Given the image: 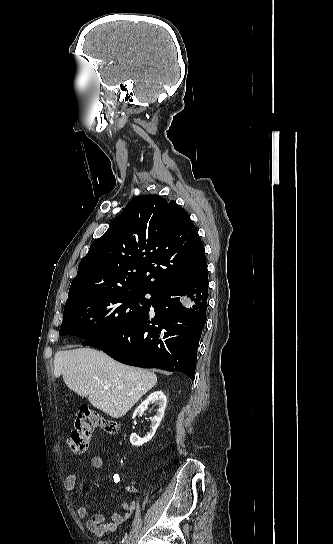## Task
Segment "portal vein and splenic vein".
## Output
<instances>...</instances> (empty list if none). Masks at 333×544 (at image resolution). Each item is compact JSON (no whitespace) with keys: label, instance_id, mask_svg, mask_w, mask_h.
Instances as JSON below:
<instances>
[{"label":"portal vein and splenic vein","instance_id":"obj_1","mask_svg":"<svg viewBox=\"0 0 333 544\" xmlns=\"http://www.w3.org/2000/svg\"><path fill=\"white\" fill-rule=\"evenodd\" d=\"M104 388H105L106 390H107V389H109V387H108V386H104Z\"/></svg>","mask_w":333,"mask_h":544}]
</instances>
